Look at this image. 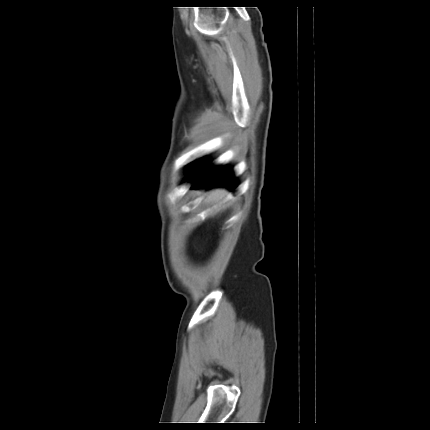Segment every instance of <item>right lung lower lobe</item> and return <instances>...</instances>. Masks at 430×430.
I'll use <instances>...</instances> for the list:
<instances>
[{"label": "right lung lower lobe", "mask_w": 430, "mask_h": 430, "mask_svg": "<svg viewBox=\"0 0 430 430\" xmlns=\"http://www.w3.org/2000/svg\"><path fill=\"white\" fill-rule=\"evenodd\" d=\"M187 179H194L192 188L196 189L201 186L213 187L224 185L231 190L238 185L232 175V168L227 166L209 167L205 161H199L190 169Z\"/></svg>", "instance_id": "right-lung-lower-lobe-1"}]
</instances>
